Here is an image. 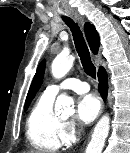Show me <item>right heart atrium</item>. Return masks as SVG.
Masks as SVG:
<instances>
[{"label":"right heart atrium","mask_w":130,"mask_h":153,"mask_svg":"<svg viewBox=\"0 0 130 153\" xmlns=\"http://www.w3.org/2000/svg\"><path fill=\"white\" fill-rule=\"evenodd\" d=\"M77 132H78V126L75 122L73 121L63 122L62 131H61L62 142L68 143L72 141L75 138Z\"/></svg>","instance_id":"right-heart-atrium-1"}]
</instances>
